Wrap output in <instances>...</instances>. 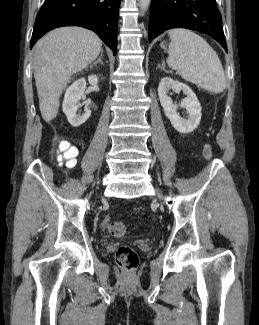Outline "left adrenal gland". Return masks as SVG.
I'll return each mask as SVG.
<instances>
[{
	"instance_id": "1",
	"label": "left adrenal gland",
	"mask_w": 259,
	"mask_h": 325,
	"mask_svg": "<svg viewBox=\"0 0 259 325\" xmlns=\"http://www.w3.org/2000/svg\"><path fill=\"white\" fill-rule=\"evenodd\" d=\"M158 68H161V70H163V71H165V72H166V70H165V64H164V62H163V64H162V66H161V65H159V66H158Z\"/></svg>"
}]
</instances>
